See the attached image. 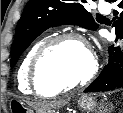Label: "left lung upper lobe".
I'll return each mask as SVG.
<instances>
[{
    "instance_id": "1",
    "label": "left lung upper lobe",
    "mask_w": 123,
    "mask_h": 113,
    "mask_svg": "<svg viewBox=\"0 0 123 113\" xmlns=\"http://www.w3.org/2000/svg\"><path fill=\"white\" fill-rule=\"evenodd\" d=\"M84 3L86 0H30L16 27L11 48V67L33 40L50 27L70 24L97 29L98 24L84 8Z\"/></svg>"
}]
</instances>
